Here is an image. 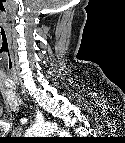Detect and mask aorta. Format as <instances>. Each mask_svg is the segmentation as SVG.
I'll use <instances>...</instances> for the list:
<instances>
[{
  "instance_id": "1",
  "label": "aorta",
  "mask_w": 125,
  "mask_h": 143,
  "mask_svg": "<svg viewBox=\"0 0 125 143\" xmlns=\"http://www.w3.org/2000/svg\"><path fill=\"white\" fill-rule=\"evenodd\" d=\"M56 124L49 123V122H41L36 123L29 129V134L34 136H45L48 135L55 130H57ZM65 131H62L60 134H65Z\"/></svg>"
}]
</instances>
